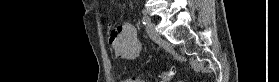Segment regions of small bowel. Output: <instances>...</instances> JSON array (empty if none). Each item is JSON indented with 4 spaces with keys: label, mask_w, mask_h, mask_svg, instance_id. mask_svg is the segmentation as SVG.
<instances>
[{
    "label": "small bowel",
    "mask_w": 279,
    "mask_h": 82,
    "mask_svg": "<svg viewBox=\"0 0 279 82\" xmlns=\"http://www.w3.org/2000/svg\"><path fill=\"white\" fill-rule=\"evenodd\" d=\"M109 41L117 59L133 60L140 54L141 46L136 37V30L130 24L112 29Z\"/></svg>",
    "instance_id": "small-bowel-1"
}]
</instances>
